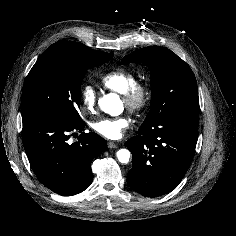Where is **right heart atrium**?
<instances>
[{
	"label": "right heart atrium",
	"instance_id": "1",
	"mask_svg": "<svg viewBox=\"0 0 236 236\" xmlns=\"http://www.w3.org/2000/svg\"><path fill=\"white\" fill-rule=\"evenodd\" d=\"M82 105L89 111L94 112L96 108L97 93L94 86L84 84L80 90Z\"/></svg>",
	"mask_w": 236,
	"mask_h": 236
}]
</instances>
